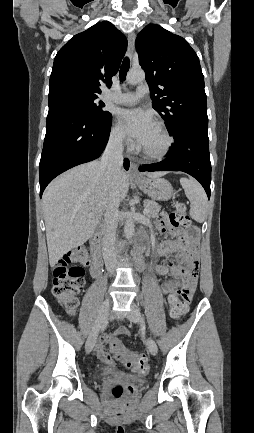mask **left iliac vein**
<instances>
[{
  "label": "left iliac vein",
  "mask_w": 254,
  "mask_h": 433,
  "mask_svg": "<svg viewBox=\"0 0 254 433\" xmlns=\"http://www.w3.org/2000/svg\"><path fill=\"white\" fill-rule=\"evenodd\" d=\"M129 318L135 324H141L142 323L139 308L135 303L131 304V311L129 313ZM146 346L152 355L157 354V352H158L157 344L151 337L147 338Z\"/></svg>",
  "instance_id": "4c4485c4"
}]
</instances>
